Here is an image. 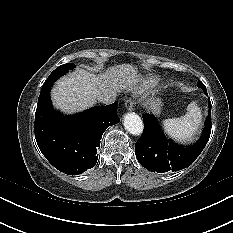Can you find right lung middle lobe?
Wrapping results in <instances>:
<instances>
[{"mask_svg":"<svg viewBox=\"0 0 233 233\" xmlns=\"http://www.w3.org/2000/svg\"><path fill=\"white\" fill-rule=\"evenodd\" d=\"M73 68H75V64L73 63H67V64H63L61 66H59L58 68H56L48 77V82L50 84H47L46 88H42L43 91H45L46 93L42 94L40 93L39 95V99H38V105H37V109L42 108L43 106H45L47 104V102L49 101V96L46 95L47 91H50V88L53 84V82L59 77L64 75L65 73L69 72V70H72Z\"/></svg>","mask_w":233,"mask_h":233,"instance_id":"right-lung-middle-lobe-1","label":"right lung middle lobe"}]
</instances>
